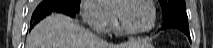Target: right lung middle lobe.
<instances>
[{
  "label": "right lung middle lobe",
  "instance_id": "right-lung-middle-lobe-1",
  "mask_svg": "<svg viewBox=\"0 0 213 48\" xmlns=\"http://www.w3.org/2000/svg\"><path fill=\"white\" fill-rule=\"evenodd\" d=\"M69 6H71L74 10L78 11L80 7V0H62Z\"/></svg>",
  "mask_w": 213,
  "mask_h": 48
}]
</instances>
